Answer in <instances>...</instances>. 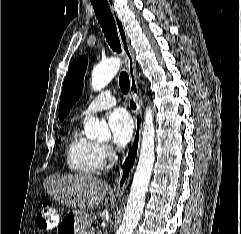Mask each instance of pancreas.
I'll return each mask as SVG.
<instances>
[{
  "label": "pancreas",
  "mask_w": 241,
  "mask_h": 234,
  "mask_svg": "<svg viewBox=\"0 0 241 234\" xmlns=\"http://www.w3.org/2000/svg\"><path fill=\"white\" fill-rule=\"evenodd\" d=\"M86 234H93V233L89 231V232H87Z\"/></svg>",
  "instance_id": "pancreas-1"
}]
</instances>
